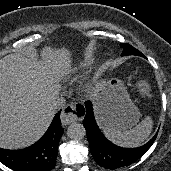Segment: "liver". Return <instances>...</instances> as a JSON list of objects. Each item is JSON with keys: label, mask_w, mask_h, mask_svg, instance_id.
Returning <instances> with one entry per match:
<instances>
[{"label": "liver", "mask_w": 171, "mask_h": 171, "mask_svg": "<svg viewBox=\"0 0 171 171\" xmlns=\"http://www.w3.org/2000/svg\"><path fill=\"white\" fill-rule=\"evenodd\" d=\"M42 60H31L19 53L0 59V147L18 149L36 142L49 127L56 109L58 86L53 73L70 65L67 49L45 47ZM95 112L103 120L102 103L96 97Z\"/></svg>", "instance_id": "6515ba94"}]
</instances>
